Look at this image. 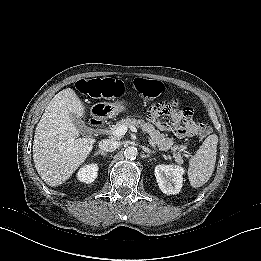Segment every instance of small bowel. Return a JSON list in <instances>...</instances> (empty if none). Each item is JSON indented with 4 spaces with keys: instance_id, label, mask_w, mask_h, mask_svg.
Returning <instances> with one entry per match:
<instances>
[{
    "instance_id": "small-bowel-1",
    "label": "small bowel",
    "mask_w": 261,
    "mask_h": 261,
    "mask_svg": "<svg viewBox=\"0 0 261 261\" xmlns=\"http://www.w3.org/2000/svg\"><path fill=\"white\" fill-rule=\"evenodd\" d=\"M149 118L151 121H153L156 126L161 129V130H169L173 132L172 126H171V121H165L160 117H157L155 115H151L150 111H149ZM193 121V119H192ZM194 122V121H193ZM184 124L186 125H190L192 126V123L189 120H185ZM196 131V129H191V134L194 133ZM174 133V132H173Z\"/></svg>"
}]
</instances>
